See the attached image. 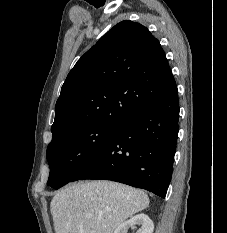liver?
I'll return each instance as SVG.
<instances>
[{"mask_svg": "<svg viewBox=\"0 0 227 233\" xmlns=\"http://www.w3.org/2000/svg\"><path fill=\"white\" fill-rule=\"evenodd\" d=\"M148 205L142 190L111 181H87L56 193L50 210L55 233H113Z\"/></svg>", "mask_w": 227, "mask_h": 233, "instance_id": "6515ba94", "label": "liver"}]
</instances>
